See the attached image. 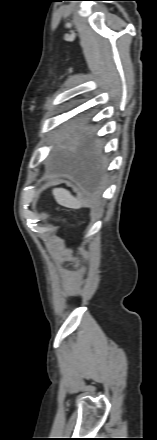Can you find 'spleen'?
I'll list each match as a JSON object with an SVG mask.
<instances>
[{
	"label": "spleen",
	"mask_w": 157,
	"mask_h": 440,
	"mask_svg": "<svg viewBox=\"0 0 157 440\" xmlns=\"http://www.w3.org/2000/svg\"><path fill=\"white\" fill-rule=\"evenodd\" d=\"M55 200L61 206L72 208V209H80L83 207V203L81 200L75 198L68 190L63 188H55L52 191Z\"/></svg>",
	"instance_id": "1"
}]
</instances>
